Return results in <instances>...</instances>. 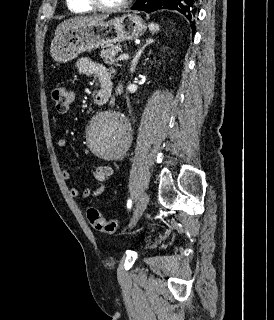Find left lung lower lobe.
<instances>
[{
    "label": "left lung lower lobe",
    "instance_id": "1",
    "mask_svg": "<svg viewBox=\"0 0 274 320\" xmlns=\"http://www.w3.org/2000/svg\"><path fill=\"white\" fill-rule=\"evenodd\" d=\"M198 0H137L132 10H142L147 13L159 10L170 9L181 12L192 23L197 11ZM193 27V25H192Z\"/></svg>",
    "mask_w": 274,
    "mask_h": 320
}]
</instances>
